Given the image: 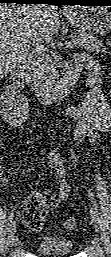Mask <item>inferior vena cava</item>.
Masks as SVG:
<instances>
[{
	"label": "inferior vena cava",
	"mask_w": 111,
	"mask_h": 257,
	"mask_svg": "<svg viewBox=\"0 0 111 257\" xmlns=\"http://www.w3.org/2000/svg\"><path fill=\"white\" fill-rule=\"evenodd\" d=\"M41 53H42V50L40 48H36L35 55L37 56L38 60L35 64V73L39 77H42V75L45 73V70H46L45 64L42 63L44 61L43 57L42 58L40 57Z\"/></svg>",
	"instance_id": "obj_1"
}]
</instances>
